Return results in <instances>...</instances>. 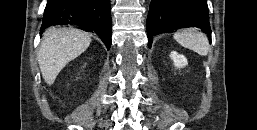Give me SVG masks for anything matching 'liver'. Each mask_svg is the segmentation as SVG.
Instances as JSON below:
<instances>
[{
	"label": "liver",
	"mask_w": 257,
	"mask_h": 130,
	"mask_svg": "<svg viewBox=\"0 0 257 130\" xmlns=\"http://www.w3.org/2000/svg\"><path fill=\"white\" fill-rule=\"evenodd\" d=\"M91 38L74 28H50L44 35L38 54L43 79L52 85L59 72L80 56L90 45Z\"/></svg>",
	"instance_id": "liver-1"
}]
</instances>
